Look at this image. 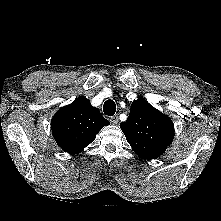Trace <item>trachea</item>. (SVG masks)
I'll return each instance as SVG.
<instances>
[{
	"label": "trachea",
	"instance_id": "3493384b",
	"mask_svg": "<svg viewBox=\"0 0 221 221\" xmlns=\"http://www.w3.org/2000/svg\"><path fill=\"white\" fill-rule=\"evenodd\" d=\"M103 111L105 115L107 116H113L116 112V104L113 100H107L105 101L103 105Z\"/></svg>",
	"mask_w": 221,
	"mask_h": 221
}]
</instances>
